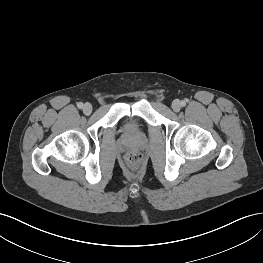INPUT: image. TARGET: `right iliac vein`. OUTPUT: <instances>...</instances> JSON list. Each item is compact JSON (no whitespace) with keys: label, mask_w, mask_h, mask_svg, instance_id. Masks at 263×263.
<instances>
[{"label":"right iliac vein","mask_w":263,"mask_h":263,"mask_svg":"<svg viewBox=\"0 0 263 263\" xmlns=\"http://www.w3.org/2000/svg\"><path fill=\"white\" fill-rule=\"evenodd\" d=\"M83 112H84V114H86V115L91 114V112H92V105H91L90 103L84 104V105H83Z\"/></svg>","instance_id":"1"}]
</instances>
